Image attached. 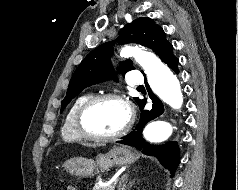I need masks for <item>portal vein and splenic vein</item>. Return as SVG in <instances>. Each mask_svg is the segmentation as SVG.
Here are the masks:
<instances>
[{"mask_svg": "<svg viewBox=\"0 0 238 190\" xmlns=\"http://www.w3.org/2000/svg\"><path fill=\"white\" fill-rule=\"evenodd\" d=\"M117 182H118V180L114 181V182H113V185H116V184H117Z\"/></svg>", "mask_w": 238, "mask_h": 190, "instance_id": "18ae733b", "label": "portal vein and splenic vein"}]
</instances>
